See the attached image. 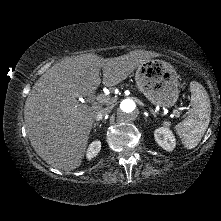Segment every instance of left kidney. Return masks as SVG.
Instances as JSON below:
<instances>
[{
	"label": "left kidney",
	"mask_w": 221,
	"mask_h": 221,
	"mask_svg": "<svg viewBox=\"0 0 221 221\" xmlns=\"http://www.w3.org/2000/svg\"><path fill=\"white\" fill-rule=\"evenodd\" d=\"M156 142L166 151H172L176 146V139L172 131L167 127H160L155 130Z\"/></svg>",
	"instance_id": "left-kidney-1"
}]
</instances>
